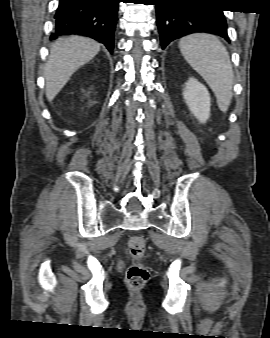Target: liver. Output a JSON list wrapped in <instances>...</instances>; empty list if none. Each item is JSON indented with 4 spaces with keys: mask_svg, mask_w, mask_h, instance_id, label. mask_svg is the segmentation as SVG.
I'll return each mask as SVG.
<instances>
[{
    "mask_svg": "<svg viewBox=\"0 0 270 338\" xmlns=\"http://www.w3.org/2000/svg\"><path fill=\"white\" fill-rule=\"evenodd\" d=\"M100 44L92 39L71 36L57 40L45 65L46 98L52 101L78 68L91 61Z\"/></svg>",
    "mask_w": 270,
    "mask_h": 338,
    "instance_id": "liver-1",
    "label": "liver"
}]
</instances>
